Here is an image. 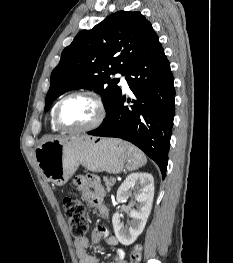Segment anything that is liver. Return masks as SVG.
<instances>
[{"instance_id":"1","label":"liver","mask_w":233,"mask_h":263,"mask_svg":"<svg viewBox=\"0 0 233 263\" xmlns=\"http://www.w3.org/2000/svg\"><path fill=\"white\" fill-rule=\"evenodd\" d=\"M64 136H44L42 139H41V144L44 143V142H47V141H51V140H55V139H60Z\"/></svg>"}]
</instances>
